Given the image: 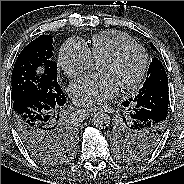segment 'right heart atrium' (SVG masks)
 Masks as SVG:
<instances>
[{"instance_id":"1","label":"right heart atrium","mask_w":184,"mask_h":184,"mask_svg":"<svg viewBox=\"0 0 184 184\" xmlns=\"http://www.w3.org/2000/svg\"><path fill=\"white\" fill-rule=\"evenodd\" d=\"M88 46L78 38L67 40L59 50L58 64L66 76L78 78L92 67Z\"/></svg>"}]
</instances>
